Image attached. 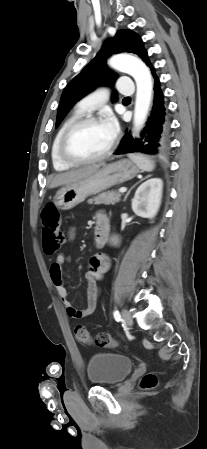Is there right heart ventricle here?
<instances>
[{
	"label": "right heart ventricle",
	"mask_w": 207,
	"mask_h": 449,
	"mask_svg": "<svg viewBox=\"0 0 207 449\" xmlns=\"http://www.w3.org/2000/svg\"><path fill=\"white\" fill-rule=\"evenodd\" d=\"M82 115H83V111H81L80 109L76 110L71 116H69L63 122V124L61 125V127L59 128V130L57 131V133L53 139L52 146H51V160H52L54 169L57 171L67 170L72 166V165L66 164L65 162L62 161V159L59 156L58 145H59L61 135L64 132V130L66 129V127L71 122H73L77 118L81 117Z\"/></svg>",
	"instance_id": "obj_1"
}]
</instances>
